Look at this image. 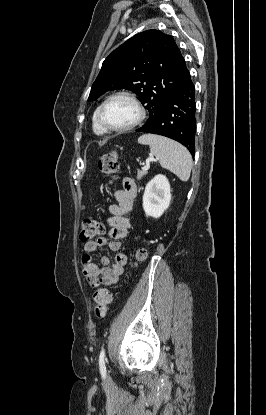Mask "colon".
Here are the masks:
<instances>
[{
	"label": "colon",
	"mask_w": 266,
	"mask_h": 415,
	"mask_svg": "<svg viewBox=\"0 0 266 415\" xmlns=\"http://www.w3.org/2000/svg\"><path fill=\"white\" fill-rule=\"evenodd\" d=\"M118 156L115 151L104 154L99 160L100 171L109 176L114 177L118 171ZM105 232V226L98 220L87 218L82 222V230L80 239L84 242L99 237ZM148 250L141 247L136 252V261L142 262L147 258ZM93 310L97 317H104L108 311L112 301V293L108 289H98L94 294Z\"/></svg>",
	"instance_id": "obj_1"
}]
</instances>
